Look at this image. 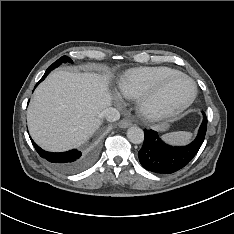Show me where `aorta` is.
I'll list each match as a JSON object with an SVG mask.
<instances>
[{
    "label": "aorta",
    "instance_id": "1",
    "mask_svg": "<svg viewBox=\"0 0 234 234\" xmlns=\"http://www.w3.org/2000/svg\"><path fill=\"white\" fill-rule=\"evenodd\" d=\"M128 139L134 144H141L144 140V132L137 126H132L127 130Z\"/></svg>",
    "mask_w": 234,
    "mask_h": 234
}]
</instances>
